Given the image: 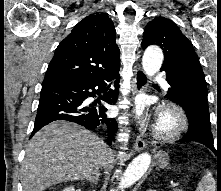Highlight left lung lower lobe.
Wrapping results in <instances>:
<instances>
[{"instance_id": "1", "label": "left lung lower lobe", "mask_w": 221, "mask_h": 191, "mask_svg": "<svg viewBox=\"0 0 221 191\" xmlns=\"http://www.w3.org/2000/svg\"><path fill=\"white\" fill-rule=\"evenodd\" d=\"M166 81L171 86L167 98L179 104L188 117L189 129L180 142H197L200 135L207 132L210 122L207 89L201 65L193 64L180 74L168 73Z\"/></svg>"}]
</instances>
